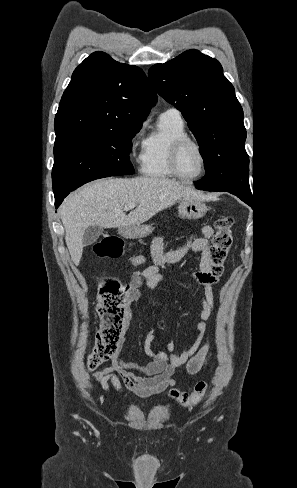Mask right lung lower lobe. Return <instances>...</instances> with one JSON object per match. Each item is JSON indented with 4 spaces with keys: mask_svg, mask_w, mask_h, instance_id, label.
I'll list each match as a JSON object with an SVG mask.
<instances>
[{
    "mask_svg": "<svg viewBox=\"0 0 297 488\" xmlns=\"http://www.w3.org/2000/svg\"><path fill=\"white\" fill-rule=\"evenodd\" d=\"M67 195H63V196H60L58 198L55 199V207L58 208L59 205L62 203L63 199L66 197Z\"/></svg>",
    "mask_w": 297,
    "mask_h": 488,
    "instance_id": "1",
    "label": "right lung lower lobe"
}]
</instances>
